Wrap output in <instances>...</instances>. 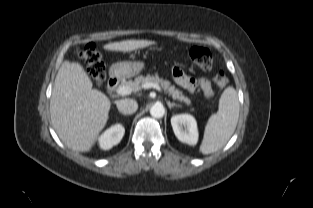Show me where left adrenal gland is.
Returning <instances> with one entry per match:
<instances>
[{
    "instance_id": "left-adrenal-gland-1",
    "label": "left adrenal gland",
    "mask_w": 313,
    "mask_h": 208,
    "mask_svg": "<svg viewBox=\"0 0 313 208\" xmlns=\"http://www.w3.org/2000/svg\"><path fill=\"white\" fill-rule=\"evenodd\" d=\"M167 102V105L168 107L171 109L172 107H181L180 105L174 103V102H170V101H166Z\"/></svg>"
}]
</instances>
